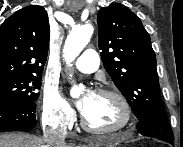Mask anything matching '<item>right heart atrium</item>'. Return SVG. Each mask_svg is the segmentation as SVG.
<instances>
[{
  "label": "right heart atrium",
  "mask_w": 183,
  "mask_h": 147,
  "mask_svg": "<svg viewBox=\"0 0 183 147\" xmlns=\"http://www.w3.org/2000/svg\"><path fill=\"white\" fill-rule=\"evenodd\" d=\"M41 110L43 123L50 128L66 131L73 124L75 113L54 84L45 85Z\"/></svg>",
  "instance_id": "obj_1"
}]
</instances>
